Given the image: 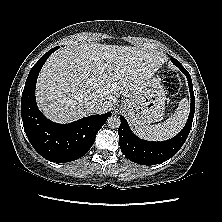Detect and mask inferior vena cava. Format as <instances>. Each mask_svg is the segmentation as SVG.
Segmentation results:
<instances>
[{
    "label": "inferior vena cava",
    "mask_w": 222,
    "mask_h": 222,
    "mask_svg": "<svg viewBox=\"0 0 222 222\" xmlns=\"http://www.w3.org/2000/svg\"><path fill=\"white\" fill-rule=\"evenodd\" d=\"M86 108L90 111L97 113L100 108V102L97 99H91L85 103Z\"/></svg>",
    "instance_id": "602c4592"
}]
</instances>
